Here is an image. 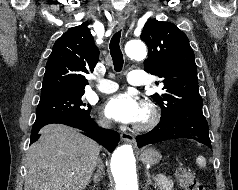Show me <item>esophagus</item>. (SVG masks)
Here are the masks:
<instances>
[{
    "mask_svg": "<svg viewBox=\"0 0 238 190\" xmlns=\"http://www.w3.org/2000/svg\"><path fill=\"white\" fill-rule=\"evenodd\" d=\"M125 26V19L124 18H118L117 20V28L122 29ZM121 141L126 143H133L134 142V136L130 133L122 132L120 134Z\"/></svg>",
    "mask_w": 238,
    "mask_h": 190,
    "instance_id": "34e87169",
    "label": "esophagus"
}]
</instances>
